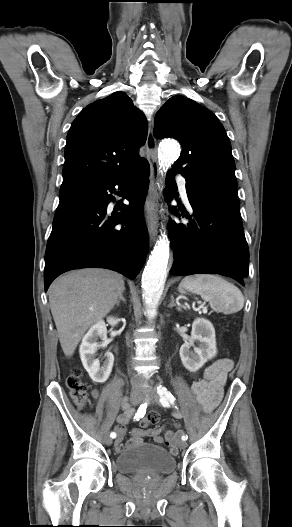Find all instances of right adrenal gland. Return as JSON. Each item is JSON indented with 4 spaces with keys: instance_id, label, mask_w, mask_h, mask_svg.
Wrapping results in <instances>:
<instances>
[{
    "instance_id": "obj_1",
    "label": "right adrenal gland",
    "mask_w": 292,
    "mask_h": 527,
    "mask_svg": "<svg viewBox=\"0 0 292 527\" xmlns=\"http://www.w3.org/2000/svg\"><path fill=\"white\" fill-rule=\"evenodd\" d=\"M123 301L126 303V299L124 298L123 294L120 295L119 299L116 301V306L118 307L120 305V302Z\"/></svg>"
}]
</instances>
